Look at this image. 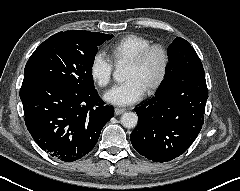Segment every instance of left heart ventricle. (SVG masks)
I'll list each match as a JSON object with an SVG mask.
<instances>
[{
	"label": "left heart ventricle",
	"instance_id": "b2bd125f",
	"mask_svg": "<svg viewBox=\"0 0 240 191\" xmlns=\"http://www.w3.org/2000/svg\"><path fill=\"white\" fill-rule=\"evenodd\" d=\"M162 67L161 55L158 52L152 53L149 58L141 65H133L128 63L125 78L132 77L140 80L146 89L159 76Z\"/></svg>",
	"mask_w": 240,
	"mask_h": 191
}]
</instances>
